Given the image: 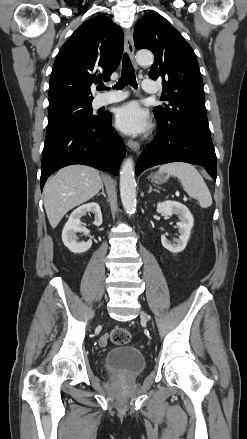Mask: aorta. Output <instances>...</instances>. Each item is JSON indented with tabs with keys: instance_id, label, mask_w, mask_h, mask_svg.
<instances>
[{
	"instance_id": "aorta-1",
	"label": "aorta",
	"mask_w": 247,
	"mask_h": 439,
	"mask_svg": "<svg viewBox=\"0 0 247 439\" xmlns=\"http://www.w3.org/2000/svg\"><path fill=\"white\" fill-rule=\"evenodd\" d=\"M136 60L141 65L151 64L154 60V56L150 52H138ZM120 196L126 212L128 214L133 213L136 208V181L132 158H127L121 167Z\"/></svg>"
}]
</instances>
